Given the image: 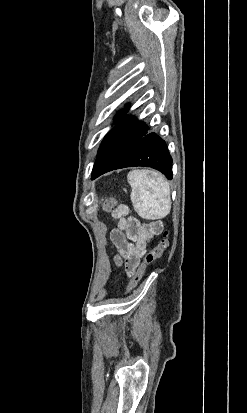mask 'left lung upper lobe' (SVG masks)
Here are the masks:
<instances>
[{"instance_id":"1","label":"left lung upper lobe","mask_w":247,"mask_h":413,"mask_svg":"<svg viewBox=\"0 0 247 413\" xmlns=\"http://www.w3.org/2000/svg\"><path fill=\"white\" fill-rule=\"evenodd\" d=\"M120 118H121V116L117 117V120L120 119Z\"/></svg>"}]
</instances>
